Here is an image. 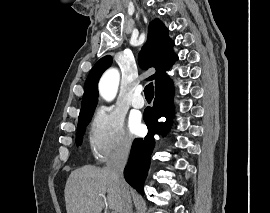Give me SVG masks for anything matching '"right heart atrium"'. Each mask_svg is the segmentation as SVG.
<instances>
[{
    "label": "right heart atrium",
    "instance_id": "1",
    "mask_svg": "<svg viewBox=\"0 0 270 213\" xmlns=\"http://www.w3.org/2000/svg\"><path fill=\"white\" fill-rule=\"evenodd\" d=\"M89 143L99 161L127 155L131 142L125 132L122 114L109 106L97 108L90 122Z\"/></svg>",
    "mask_w": 270,
    "mask_h": 213
}]
</instances>
